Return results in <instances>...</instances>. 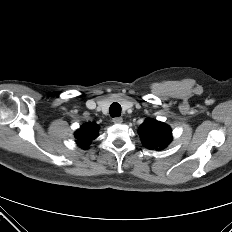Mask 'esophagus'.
Instances as JSON below:
<instances>
[{
    "label": "esophagus",
    "mask_w": 232,
    "mask_h": 232,
    "mask_svg": "<svg viewBox=\"0 0 232 232\" xmlns=\"http://www.w3.org/2000/svg\"><path fill=\"white\" fill-rule=\"evenodd\" d=\"M115 124H121L123 122V119L121 117H115L112 120Z\"/></svg>",
    "instance_id": "obj_1"
}]
</instances>
